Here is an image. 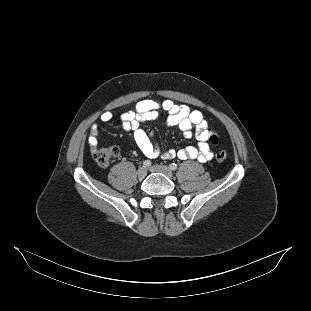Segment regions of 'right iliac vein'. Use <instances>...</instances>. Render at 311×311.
I'll list each match as a JSON object with an SVG mask.
<instances>
[{"label": "right iliac vein", "instance_id": "obj_1", "mask_svg": "<svg viewBox=\"0 0 311 311\" xmlns=\"http://www.w3.org/2000/svg\"><path fill=\"white\" fill-rule=\"evenodd\" d=\"M147 175V170L144 167H140L137 171V176L139 179H144Z\"/></svg>", "mask_w": 311, "mask_h": 311}]
</instances>
